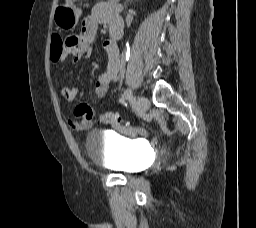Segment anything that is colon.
<instances>
[{"label":"colon","mask_w":256,"mask_h":228,"mask_svg":"<svg viewBox=\"0 0 256 228\" xmlns=\"http://www.w3.org/2000/svg\"><path fill=\"white\" fill-rule=\"evenodd\" d=\"M64 49V42L58 34H54L51 39V59L57 60ZM99 121L105 125H118L121 123V117L115 112H105L99 117Z\"/></svg>","instance_id":"obj_1"}]
</instances>
